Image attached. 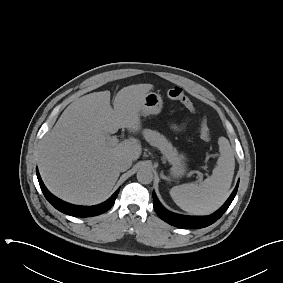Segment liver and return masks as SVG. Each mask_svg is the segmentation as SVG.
<instances>
[{
    "instance_id": "6515ba94",
    "label": "liver",
    "mask_w": 283,
    "mask_h": 283,
    "mask_svg": "<svg viewBox=\"0 0 283 283\" xmlns=\"http://www.w3.org/2000/svg\"><path fill=\"white\" fill-rule=\"evenodd\" d=\"M152 84L122 88L110 105V91L93 92L73 101L49 131L39 150V171L57 197L90 205L104 200L115 185L119 159L137 160L142 152L136 140L111 146L109 134L120 128L141 129L140 107Z\"/></svg>"
}]
</instances>
